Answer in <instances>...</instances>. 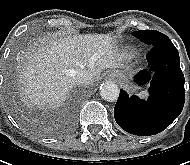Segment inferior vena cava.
Masks as SVG:
<instances>
[{
  "label": "inferior vena cava",
  "instance_id": "602c4592",
  "mask_svg": "<svg viewBox=\"0 0 190 165\" xmlns=\"http://www.w3.org/2000/svg\"><path fill=\"white\" fill-rule=\"evenodd\" d=\"M72 76L77 83L88 84L92 81L91 72L85 69H78L73 71Z\"/></svg>",
  "mask_w": 190,
  "mask_h": 165
}]
</instances>
